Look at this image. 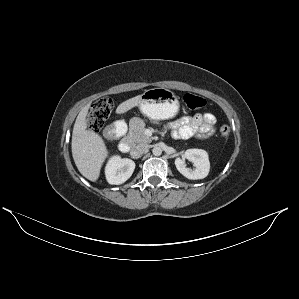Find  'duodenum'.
Wrapping results in <instances>:
<instances>
[{"mask_svg":"<svg viewBox=\"0 0 299 299\" xmlns=\"http://www.w3.org/2000/svg\"><path fill=\"white\" fill-rule=\"evenodd\" d=\"M125 132H126V126L122 122L113 123L105 131V135L107 137H110V138L118 137V138H120V140L118 142V148L123 153L129 152L130 148H131L129 141L123 137Z\"/></svg>","mask_w":299,"mask_h":299,"instance_id":"duodenum-1","label":"duodenum"}]
</instances>
